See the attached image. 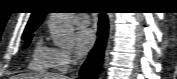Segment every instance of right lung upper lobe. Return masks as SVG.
Here are the masks:
<instances>
[{"instance_id":"right-lung-upper-lobe-1","label":"right lung upper lobe","mask_w":177,"mask_h":79,"mask_svg":"<svg viewBox=\"0 0 177 79\" xmlns=\"http://www.w3.org/2000/svg\"><path fill=\"white\" fill-rule=\"evenodd\" d=\"M46 13L47 12L45 10H37V11L33 12L25 30L33 29V28L36 29L43 21Z\"/></svg>"}]
</instances>
